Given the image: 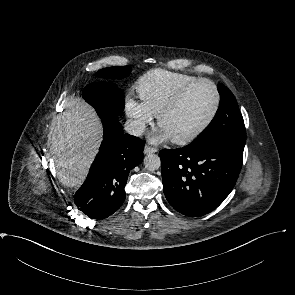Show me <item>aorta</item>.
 Segmentation results:
<instances>
[{"label": "aorta", "instance_id": "762f6f07", "mask_svg": "<svg viewBox=\"0 0 295 295\" xmlns=\"http://www.w3.org/2000/svg\"><path fill=\"white\" fill-rule=\"evenodd\" d=\"M144 166L149 171H155L160 168L161 160L156 154H149L144 158Z\"/></svg>", "mask_w": 295, "mask_h": 295}]
</instances>
